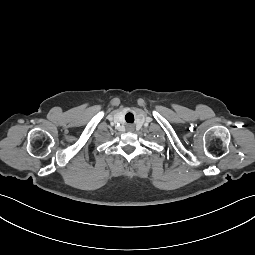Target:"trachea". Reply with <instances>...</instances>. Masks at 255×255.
Here are the masks:
<instances>
[{
    "label": "trachea",
    "mask_w": 255,
    "mask_h": 255,
    "mask_svg": "<svg viewBox=\"0 0 255 255\" xmlns=\"http://www.w3.org/2000/svg\"><path fill=\"white\" fill-rule=\"evenodd\" d=\"M127 122L133 123L134 122V115L132 113H127L125 116Z\"/></svg>",
    "instance_id": "trachea-1"
}]
</instances>
